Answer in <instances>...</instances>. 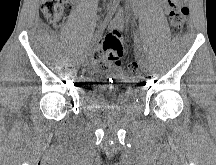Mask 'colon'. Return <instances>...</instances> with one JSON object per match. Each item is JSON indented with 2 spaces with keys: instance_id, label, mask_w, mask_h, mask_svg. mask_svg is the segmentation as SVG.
<instances>
[{
  "instance_id": "1",
  "label": "colon",
  "mask_w": 216,
  "mask_h": 165,
  "mask_svg": "<svg viewBox=\"0 0 216 165\" xmlns=\"http://www.w3.org/2000/svg\"><path fill=\"white\" fill-rule=\"evenodd\" d=\"M184 0H170L171 10L169 12V22L174 33H178L184 27L189 14L188 7ZM73 9V0H41V11L48 23L54 27H61L66 17ZM123 44L121 33L113 29L103 40V47L94 56L95 62L100 69L108 67H122ZM127 70L131 74H136L138 65L129 63Z\"/></svg>"
}]
</instances>
